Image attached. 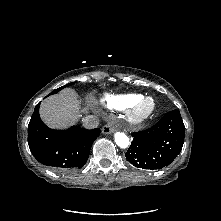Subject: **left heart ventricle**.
<instances>
[{
	"label": "left heart ventricle",
	"instance_id": "obj_1",
	"mask_svg": "<svg viewBox=\"0 0 221 221\" xmlns=\"http://www.w3.org/2000/svg\"><path fill=\"white\" fill-rule=\"evenodd\" d=\"M150 107V103H146L142 106L141 111H146Z\"/></svg>",
	"mask_w": 221,
	"mask_h": 221
}]
</instances>
